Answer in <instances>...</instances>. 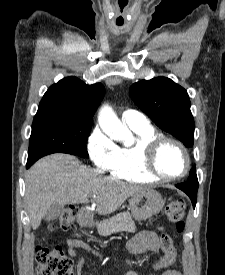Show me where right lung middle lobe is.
I'll return each mask as SVG.
<instances>
[{"label":"right lung middle lobe","mask_w":225,"mask_h":275,"mask_svg":"<svg viewBox=\"0 0 225 275\" xmlns=\"http://www.w3.org/2000/svg\"><path fill=\"white\" fill-rule=\"evenodd\" d=\"M93 121L74 118L34 119L29 142L28 161L56 152L88 157L86 142Z\"/></svg>","instance_id":"1"}]
</instances>
